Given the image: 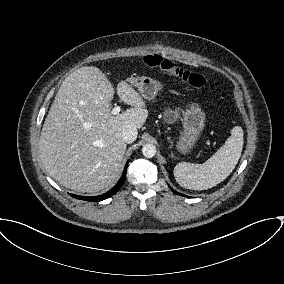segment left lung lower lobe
Wrapping results in <instances>:
<instances>
[{
	"mask_svg": "<svg viewBox=\"0 0 284 284\" xmlns=\"http://www.w3.org/2000/svg\"><path fill=\"white\" fill-rule=\"evenodd\" d=\"M170 188H171V187H170ZM171 190H172L174 193H176V194L182 195V194L176 192L175 190H173L172 188H171ZM182 196H184V195H182Z\"/></svg>",
	"mask_w": 284,
	"mask_h": 284,
	"instance_id": "obj_1",
	"label": "left lung lower lobe"
}]
</instances>
